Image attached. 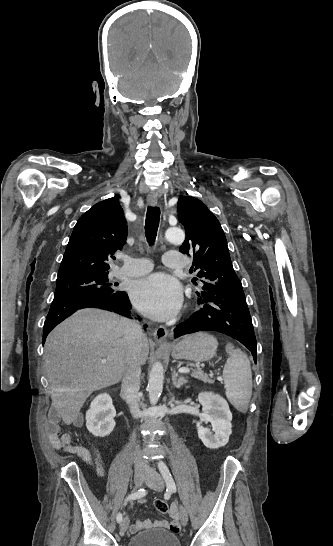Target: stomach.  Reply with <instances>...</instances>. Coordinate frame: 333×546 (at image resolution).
<instances>
[{
	"label": "stomach",
	"instance_id": "1",
	"mask_svg": "<svg viewBox=\"0 0 333 546\" xmlns=\"http://www.w3.org/2000/svg\"><path fill=\"white\" fill-rule=\"evenodd\" d=\"M218 347L217 339L209 333L199 332L184 337L169 346L175 359H187L204 362L213 358Z\"/></svg>",
	"mask_w": 333,
	"mask_h": 546
}]
</instances>
